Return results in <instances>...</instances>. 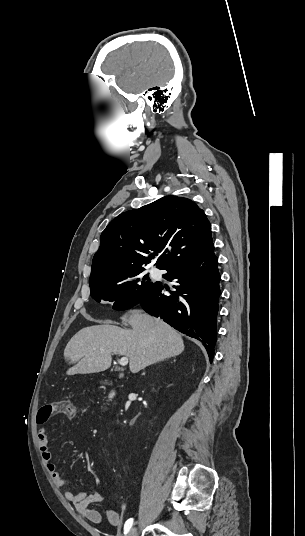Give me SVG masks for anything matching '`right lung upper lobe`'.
I'll use <instances>...</instances> for the list:
<instances>
[{"label":"right lung upper lobe","mask_w":305,"mask_h":536,"mask_svg":"<svg viewBox=\"0 0 305 536\" xmlns=\"http://www.w3.org/2000/svg\"><path fill=\"white\" fill-rule=\"evenodd\" d=\"M100 241L89 282L144 269L161 252L156 267L165 269L213 245L204 211L178 196H165L120 214L102 232Z\"/></svg>","instance_id":"cb5924a9"}]
</instances>
